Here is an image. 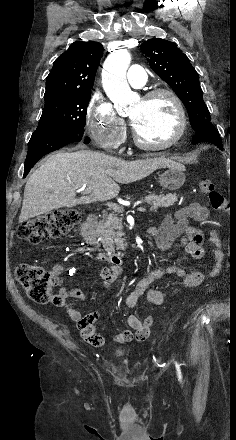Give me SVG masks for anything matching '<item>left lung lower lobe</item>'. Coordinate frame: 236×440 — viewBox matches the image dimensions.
Here are the masks:
<instances>
[{
  "instance_id": "left-lung-lower-lobe-1",
  "label": "left lung lower lobe",
  "mask_w": 236,
  "mask_h": 440,
  "mask_svg": "<svg viewBox=\"0 0 236 440\" xmlns=\"http://www.w3.org/2000/svg\"><path fill=\"white\" fill-rule=\"evenodd\" d=\"M200 142L212 143L220 150H223L221 137L212 124H209L196 131V134L192 139V144H197Z\"/></svg>"
}]
</instances>
